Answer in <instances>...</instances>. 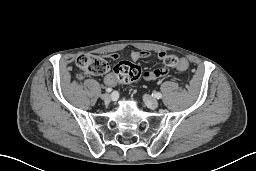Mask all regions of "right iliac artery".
I'll return each mask as SVG.
<instances>
[{
  "instance_id": "right-iliac-artery-1",
  "label": "right iliac artery",
  "mask_w": 256,
  "mask_h": 171,
  "mask_svg": "<svg viewBox=\"0 0 256 171\" xmlns=\"http://www.w3.org/2000/svg\"><path fill=\"white\" fill-rule=\"evenodd\" d=\"M112 91V88H106V92L110 93Z\"/></svg>"
}]
</instances>
